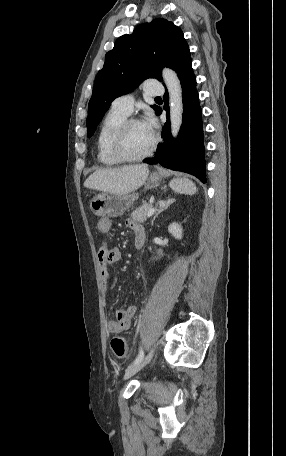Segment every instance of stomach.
<instances>
[{
  "label": "stomach",
  "mask_w": 286,
  "mask_h": 456,
  "mask_svg": "<svg viewBox=\"0 0 286 456\" xmlns=\"http://www.w3.org/2000/svg\"><path fill=\"white\" fill-rule=\"evenodd\" d=\"M162 176L159 173H152L145 185L147 189L156 188L161 182ZM138 194H111L102 193L93 197L90 201V210L93 214L101 217H118L127 211Z\"/></svg>",
  "instance_id": "1"
}]
</instances>
